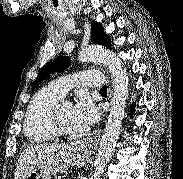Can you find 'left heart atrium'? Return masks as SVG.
Returning a JSON list of instances; mask_svg holds the SVG:
<instances>
[{"label": "left heart atrium", "mask_w": 183, "mask_h": 179, "mask_svg": "<svg viewBox=\"0 0 183 179\" xmlns=\"http://www.w3.org/2000/svg\"><path fill=\"white\" fill-rule=\"evenodd\" d=\"M98 109L87 97H81L72 108V122L75 131H85L98 119Z\"/></svg>", "instance_id": "39dd6f15"}]
</instances>
